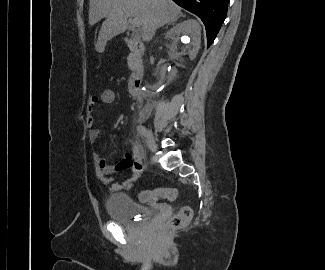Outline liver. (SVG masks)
Masks as SVG:
<instances>
[{
  "label": "liver",
  "mask_w": 325,
  "mask_h": 270,
  "mask_svg": "<svg viewBox=\"0 0 325 270\" xmlns=\"http://www.w3.org/2000/svg\"><path fill=\"white\" fill-rule=\"evenodd\" d=\"M181 8L172 0H90L89 24L103 18L97 42L102 51L106 42L127 29L128 17L137 18L142 29V39L150 41L156 30L174 20Z\"/></svg>",
  "instance_id": "obj_1"
}]
</instances>
